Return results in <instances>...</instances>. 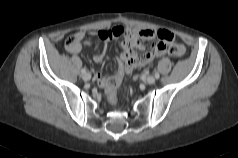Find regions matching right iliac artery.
I'll list each match as a JSON object with an SVG mask.
<instances>
[{
	"mask_svg": "<svg viewBox=\"0 0 238 158\" xmlns=\"http://www.w3.org/2000/svg\"><path fill=\"white\" fill-rule=\"evenodd\" d=\"M81 72H82V74L86 73V69L82 68Z\"/></svg>",
	"mask_w": 238,
	"mask_h": 158,
	"instance_id": "right-iliac-artery-1",
	"label": "right iliac artery"
}]
</instances>
